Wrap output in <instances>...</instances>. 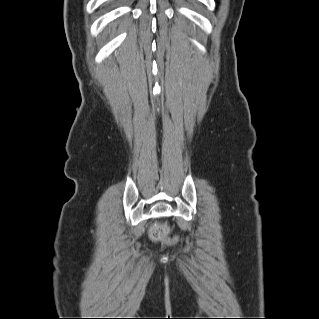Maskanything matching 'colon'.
Returning a JSON list of instances; mask_svg holds the SVG:
<instances>
[{
  "mask_svg": "<svg viewBox=\"0 0 319 319\" xmlns=\"http://www.w3.org/2000/svg\"><path fill=\"white\" fill-rule=\"evenodd\" d=\"M150 237L154 240H163L172 244L176 242L175 239L168 238L167 229L164 227H160V228L158 227V228L152 229L150 232Z\"/></svg>",
  "mask_w": 319,
  "mask_h": 319,
  "instance_id": "colon-1",
  "label": "colon"
}]
</instances>
